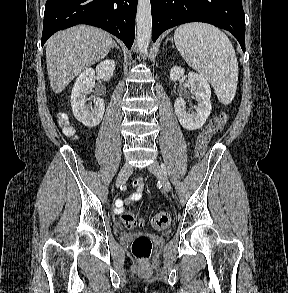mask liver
<instances>
[{
  "instance_id": "6515ba94",
  "label": "liver",
  "mask_w": 288,
  "mask_h": 293,
  "mask_svg": "<svg viewBox=\"0 0 288 293\" xmlns=\"http://www.w3.org/2000/svg\"><path fill=\"white\" fill-rule=\"evenodd\" d=\"M113 48L107 32L77 25L55 33L46 47V64L52 90L58 94L82 71L97 63Z\"/></svg>"
}]
</instances>
